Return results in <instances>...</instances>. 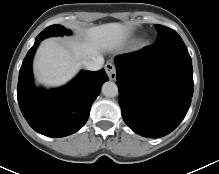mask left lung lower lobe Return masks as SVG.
Returning <instances> with one entry per match:
<instances>
[{
    "mask_svg": "<svg viewBox=\"0 0 219 174\" xmlns=\"http://www.w3.org/2000/svg\"><path fill=\"white\" fill-rule=\"evenodd\" d=\"M119 105L137 134L159 138L184 119L193 95L192 60L183 41L154 43L114 59Z\"/></svg>",
    "mask_w": 219,
    "mask_h": 174,
    "instance_id": "1",
    "label": "left lung lower lobe"
}]
</instances>
